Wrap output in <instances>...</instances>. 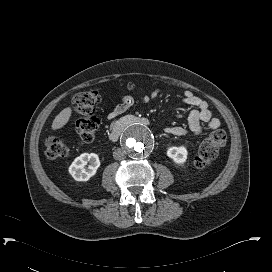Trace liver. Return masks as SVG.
<instances>
[{"label":"liver","instance_id":"liver-1","mask_svg":"<svg viewBox=\"0 0 272 272\" xmlns=\"http://www.w3.org/2000/svg\"><path fill=\"white\" fill-rule=\"evenodd\" d=\"M71 113L70 107L63 109L53 120L52 129L57 130L65 126L71 117Z\"/></svg>","mask_w":272,"mask_h":272}]
</instances>
